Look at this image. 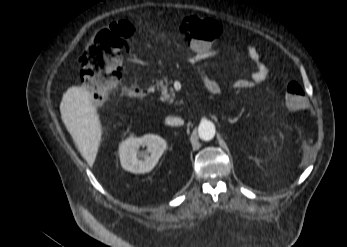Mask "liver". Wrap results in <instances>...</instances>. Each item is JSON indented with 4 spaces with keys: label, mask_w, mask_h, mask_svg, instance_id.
Returning a JSON list of instances; mask_svg holds the SVG:
<instances>
[{
    "label": "liver",
    "mask_w": 347,
    "mask_h": 247,
    "mask_svg": "<svg viewBox=\"0 0 347 247\" xmlns=\"http://www.w3.org/2000/svg\"><path fill=\"white\" fill-rule=\"evenodd\" d=\"M93 101V94L86 87L72 86L63 93L60 103L62 120L90 166L102 138V125Z\"/></svg>",
    "instance_id": "obj_1"
}]
</instances>
